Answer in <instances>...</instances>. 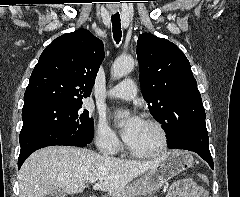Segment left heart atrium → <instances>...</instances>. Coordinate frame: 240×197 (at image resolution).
Wrapping results in <instances>:
<instances>
[{
	"label": "left heart atrium",
	"instance_id": "left-heart-atrium-1",
	"mask_svg": "<svg viewBox=\"0 0 240 197\" xmlns=\"http://www.w3.org/2000/svg\"><path fill=\"white\" fill-rule=\"evenodd\" d=\"M115 117L117 120H124L121 135L127 144L130 143L138 134L144 121L135 114L124 117L122 112H116Z\"/></svg>",
	"mask_w": 240,
	"mask_h": 197
}]
</instances>
